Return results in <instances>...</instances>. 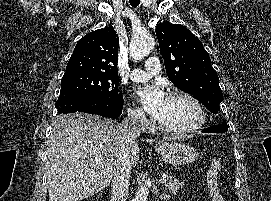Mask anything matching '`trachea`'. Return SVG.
<instances>
[{"mask_svg":"<svg viewBox=\"0 0 271 201\" xmlns=\"http://www.w3.org/2000/svg\"><path fill=\"white\" fill-rule=\"evenodd\" d=\"M130 4L135 8L140 4V0H130Z\"/></svg>","mask_w":271,"mask_h":201,"instance_id":"1","label":"trachea"}]
</instances>
